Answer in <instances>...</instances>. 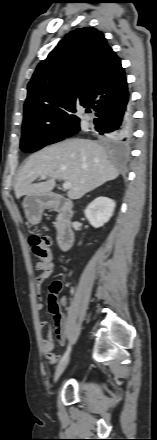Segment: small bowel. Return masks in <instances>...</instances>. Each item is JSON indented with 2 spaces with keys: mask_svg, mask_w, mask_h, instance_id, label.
Listing matches in <instances>:
<instances>
[{
  "mask_svg": "<svg viewBox=\"0 0 157 440\" xmlns=\"http://www.w3.org/2000/svg\"><path fill=\"white\" fill-rule=\"evenodd\" d=\"M35 268L36 271L39 272L35 280V284L37 292L40 295L42 282L45 278L51 276L54 273L55 268L52 262H37ZM36 308L38 311H41L43 309V304L38 303L36 305ZM49 311L53 317L56 339L60 345H64L66 338V317L60 310V308L53 310L49 307ZM47 326H49V323L47 321H41L39 323L40 329H44ZM41 346L46 357L49 359L50 365H54L61 356L53 352V338L51 329H49L47 336L41 339Z\"/></svg>",
  "mask_w": 157,
  "mask_h": 440,
  "instance_id": "c3829d8e",
  "label": "small bowel"
}]
</instances>
